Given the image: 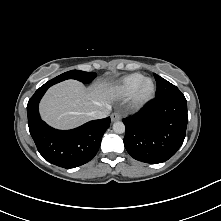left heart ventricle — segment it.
<instances>
[{"mask_svg": "<svg viewBox=\"0 0 221 221\" xmlns=\"http://www.w3.org/2000/svg\"><path fill=\"white\" fill-rule=\"evenodd\" d=\"M151 84L149 82H147L143 88L144 92H148L150 90Z\"/></svg>", "mask_w": 221, "mask_h": 221, "instance_id": "obj_1", "label": "left heart ventricle"}]
</instances>
